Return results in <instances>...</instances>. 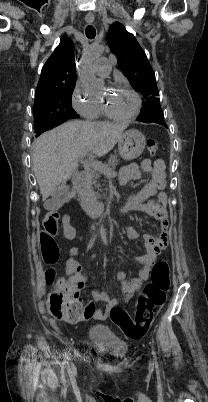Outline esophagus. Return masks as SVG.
<instances>
[{"instance_id": "obj_1", "label": "esophagus", "mask_w": 208, "mask_h": 402, "mask_svg": "<svg viewBox=\"0 0 208 402\" xmlns=\"http://www.w3.org/2000/svg\"><path fill=\"white\" fill-rule=\"evenodd\" d=\"M94 15L92 13H88L85 17V21L89 24L94 22Z\"/></svg>"}]
</instances>
